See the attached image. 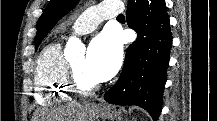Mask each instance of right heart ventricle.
Masks as SVG:
<instances>
[{
	"mask_svg": "<svg viewBox=\"0 0 217 121\" xmlns=\"http://www.w3.org/2000/svg\"><path fill=\"white\" fill-rule=\"evenodd\" d=\"M66 70L67 61L62 55L61 43L48 44L37 59L34 74L36 98L40 104L59 103L70 95Z\"/></svg>",
	"mask_w": 217,
	"mask_h": 121,
	"instance_id": "e07e8e85",
	"label": "right heart ventricle"
}]
</instances>
